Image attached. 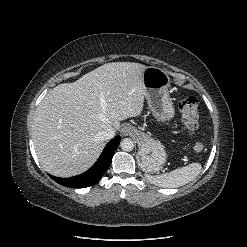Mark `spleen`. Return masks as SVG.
Returning a JSON list of instances; mask_svg holds the SVG:
<instances>
[{
  "instance_id": "spleen-1",
  "label": "spleen",
  "mask_w": 247,
  "mask_h": 247,
  "mask_svg": "<svg viewBox=\"0 0 247 247\" xmlns=\"http://www.w3.org/2000/svg\"><path fill=\"white\" fill-rule=\"evenodd\" d=\"M200 163H191L161 175H147V180L159 187L175 188L194 180L201 172Z\"/></svg>"
}]
</instances>
